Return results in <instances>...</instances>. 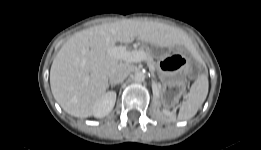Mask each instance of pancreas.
<instances>
[{
    "instance_id": "obj_1",
    "label": "pancreas",
    "mask_w": 261,
    "mask_h": 150,
    "mask_svg": "<svg viewBox=\"0 0 261 150\" xmlns=\"http://www.w3.org/2000/svg\"><path fill=\"white\" fill-rule=\"evenodd\" d=\"M141 51H144L146 54H147V62H148V65H149V67L151 68V70H156V68H157V66H156V64H155V62H154V60H153V58L151 57V55L149 54V52L148 51H145V50H141Z\"/></svg>"
}]
</instances>
